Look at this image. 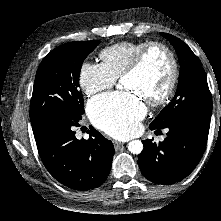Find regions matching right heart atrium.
<instances>
[{
	"instance_id": "d8ad5b80",
	"label": "right heart atrium",
	"mask_w": 221,
	"mask_h": 221,
	"mask_svg": "<svg viewBox=\"0 0 221 221\" xmlns=\"http://www.w3.org/2000/svg\"><path fill=\"white\" fill-rule=\"evenodd\" d=\"M80 85L88 96L112 88L117 79L101 63L85 62L80 70Z\"/></svg>"
}]
</instances>
